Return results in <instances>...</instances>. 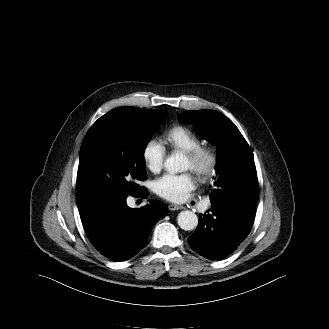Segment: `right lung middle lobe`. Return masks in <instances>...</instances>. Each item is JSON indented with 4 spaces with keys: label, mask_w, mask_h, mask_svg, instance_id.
Returning a JSON list of instances; mask_svg holds the SVG:
<instances>
[{
    "label": "right lung middle lobe",
    "mask_w": 329,
    "mask_h": 329,
    "mask_svg": "<svg viewBox=\"0 0 329 329\" xmlns=\"http://www.w3.org/2000/svg\"><path fill=\"white\" fill-rule=\"evenodd\" d=\"M165 110L117 107L99 118L84 139L77 173L78 199L102 191L137 195L145 188L144 150Z\"/></svg>",
    "instance_id": "obj_1"
}]
</instances>
